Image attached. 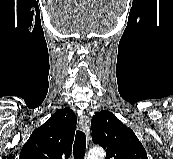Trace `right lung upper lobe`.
<instances>
[{"instance_id":"cb5924a9","label":"right lung upper lobe","mask_w":173,"mask_h":159,"mask_svg":"<svg viewBox=\"0 0 173 159\" xmlns=\"http://www.w3.org/2000/svg\"><path fill=\"white\" fill-rule=\"evenodd\" d=\"M76 122L77 118L70 108L59 109L32 132L19 159H68Z\"/></svg>"}]
</instances>
